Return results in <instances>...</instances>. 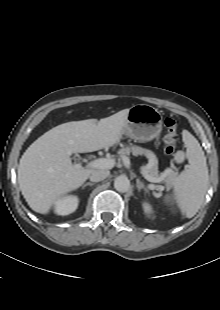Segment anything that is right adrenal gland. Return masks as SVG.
<instances>
[{"label":"right adrenal gland","instance_id":"right-adrenal-gland-1","mask_svg":"<svg viewBox=\"0 0 220 310\" xmlns=\"http://www.w3.org/2000/svg\"><path fill=\"white\" fill-rule=\"evenodd\" d=\"M94 183H91V182H87L85 183L83 186H82V189H84L86 186H93Z\"/></svg>","mask_w":220,"mask_h":310}]
</instances>
